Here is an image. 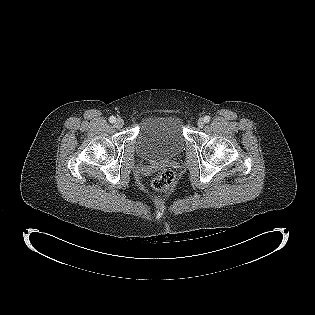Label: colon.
<instances>
[{
	"label": "colon",
	"instance_id": "5ec220e1",
	"mask_svg": "<svg viewBox=\"0 0 315 315\" xmlns=\"http://www.w3.org/2000/svg\"><path fill=\"white\" fill-rule=\"evenodd\" d=\"M175 181V174L171 170H163L151 181V186L158 191L168 190Z\"/></svg>",
	"mask_w": 315,
	"mask_h": 315
}]
</instances>
